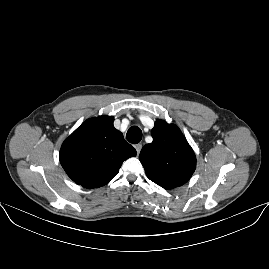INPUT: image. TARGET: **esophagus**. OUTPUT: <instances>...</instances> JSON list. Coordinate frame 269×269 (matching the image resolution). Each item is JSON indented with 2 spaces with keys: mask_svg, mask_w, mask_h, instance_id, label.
Listing matches in <instances>:
<instances>
[{
  "mask_svg": "<svg viewBox=\"0 0 269 269\" xmlns=\"http://www.w3.org/2000/svg\"><path fill=\"white\" fill-rule=\"evenodd\" d=\"M134 147H135V149H136L137 156H138L139 153H140V151H141L142 145H141V144H136Z\"/></svg>",
  "mask_w": 269,
  "mask_h": 269,
  "instance_id": "obj_1",
  "label": "esophagus"
}]
</instances>
